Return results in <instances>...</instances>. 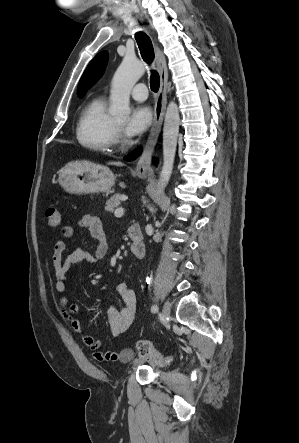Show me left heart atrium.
<instances>
[{"label": "left heart atrium", "instance_id": "obj_1", "mask_svg": "<svg viewBox=\"0 0 299 443\" xmlns=\"http://www.w3.org/2000/svg\"><path fill=\"white\" fill-rule=\"evenodd\" d=\"M151 122L152 113L150 108L143 105L137 106L132 110L125 124V133L129 137L141 135L149 128Z\"/></svg>", "mask_w": 299, "mask_h": 443}]
</instances>
